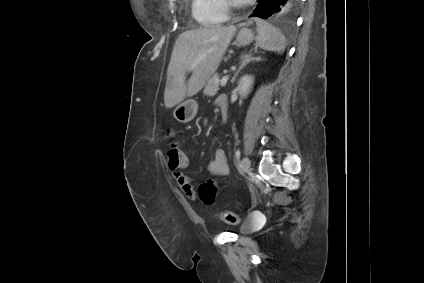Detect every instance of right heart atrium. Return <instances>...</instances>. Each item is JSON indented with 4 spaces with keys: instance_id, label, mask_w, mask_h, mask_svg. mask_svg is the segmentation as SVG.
I'll list each match as a JSON object with an SVG mask.
<instances>
[{
    "instance_id": "d8ad5b80",
    "label": "right heart atrium",
    "mask_w": 424,
    "mask_h": 283,
    "mask_svg": "<svg viewBox=\"0 0 424 283\" xmlns=\"http://www.w3.org/2000/svg\"><path fill=\"white\" fill-rule=\"evenodd\" d=\"M221 2H222L223 9L226 11L227 8H228V1L227 0H221Z\"/></svg>"
}]
</instances>
